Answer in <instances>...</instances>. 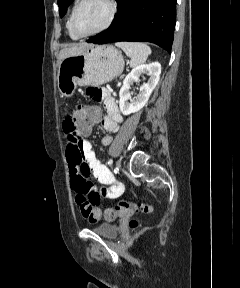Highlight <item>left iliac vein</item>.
I'll return each instance as SVG.
<instances>
[{"label":"left iliac vein","instance_id":"1","mask_svg":"<svg viewBox=\"0 0 240 288\" xmlns=\"http://www.w3.org/2000/svg\"><path fill=\"white\" fill-rule=\"evenodd\" d=\"M116 168H117V170H119L121 168V161L120 160L116 161Z\"/></svg>","mask_w":240,"mask_h":288}]
</instances>
